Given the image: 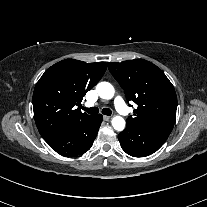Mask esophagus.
I'll return each instance as SVG.
<instances>
[{"mask_svg":"<svg viewBox=\"0 0 207 207\" xmlns=\"http://www.w3.org/2000/svg\"><path fill=\"white\" fill-rule=\"evenodd\" d=\"M103 119H104L105 121H109V120L111 119V117H110V116H107V115H104V116H103Z\"/></svg>","mask_w":207,"mask_h":207,"instance_id":"1","label":"esophagus"}]
</instances>
